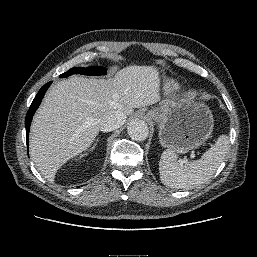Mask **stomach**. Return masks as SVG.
Listing matches in <instances>:
<instances>
[{
    "label": "stomach",
    "mask_w": 257,
    "mask_h": 257,
    "mask_svg": "<svg viewBox=\"0 0 257 257\" xmlns=\"http://www.w3.org/2000/svg\"><path fill=\"white\" fill-rule=\"evenodd\" d=\"M147 118L159 124L162 146L178 154L200 147L213 131V115L204 103L192 98L167 100L148 111Z\"/></svg>",
    "instance_id": "obj_1"
}]
</instances>
